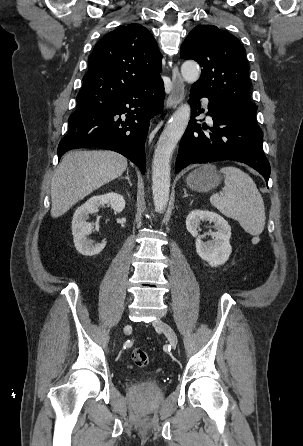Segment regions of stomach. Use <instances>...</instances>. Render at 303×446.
Wrapping results in <instances>:
<instances>
[{
    "label": "stomach",
    "mask_w": 303,
    "mask_h": 446,
    "mask_svg": "<svg viewBox=\"0 0 303 446\" xmlns=\"http://www.w3.org/2000/svg\"><path fill=\"white\" fill-rule=\"evenodd\" d=\"M221 176L213 165H203L191 172L187 179V185L194 191L207 192L220 184Z\"/></svg>",
    "instance_id": "0dacf381"
}]
</instances>
